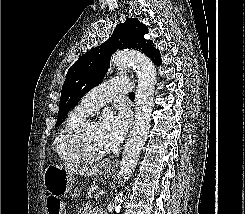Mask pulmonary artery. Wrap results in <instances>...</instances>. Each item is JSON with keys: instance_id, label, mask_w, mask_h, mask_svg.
Returning a JSON list of instances; mask_svg holds the SVG:
<instances>
[{"instance_id": "1", "label": "pulmonary artery", "mask_w": 245, "mask_h": 214, "mask_svg": "<svg viewBox=\"0 0 245 214\" xmlns=\"http://www.w3.org/2000/svg\"><path fill=\"white\" fill-rule=\"evenodd\" d=\"M130 90L131 82L128 78L113 77L86 93L79 105L90 114L107 104L115 95Z\"/></svg>"}]
</instances>
